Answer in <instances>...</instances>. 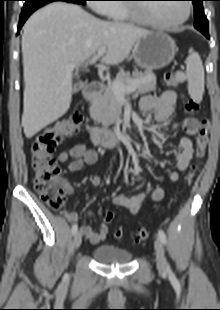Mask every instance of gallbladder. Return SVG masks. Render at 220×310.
<instances>
[{"mask_svg": "<svg viewBox=\"0 0 220 310\" xmlns=\"http://www.w3.org/2000/svg\"><path fill=\"white\" fill-rule=\"evenodd\" d=\"M83 86H84V83H82V82L75 83L73 86V92L74 93L78 92L79 90H81L83 88Z\"/></svg>", "mask_w": 220, "mask_h": 310, "instance_id": "1", "label": "gallbladder"}]
</instances>
